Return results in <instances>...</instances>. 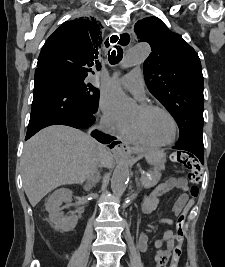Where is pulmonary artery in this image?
I'll return each mask as SVG.
<instances>
[{"label":"pulmonary artery","mask_w":225,"mask_h":267,"mask_svg":"<svg viewBox=\"0 0 225 267\" xmlns=\"http://www.w3.org/2000/svg\"><path fill=\"white\" fill-rule=\"evenodd\" d=\"M118 82L139 99L144 98V78L141 69L134 68L128 74L120 77Z\"/></svg>","instance_id":"e3ab8cb5"}]
</instances>
